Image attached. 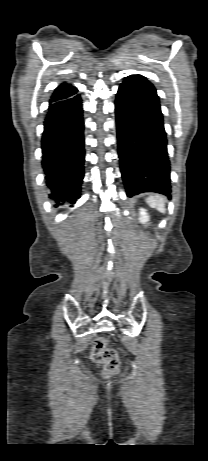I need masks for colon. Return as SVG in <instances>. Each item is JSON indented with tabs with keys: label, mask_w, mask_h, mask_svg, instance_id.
<instances>
[{
	"label": "colon",
	"mask_w": 208,
	"mask_h": 461,
	"mask_svg": "<svg viewBox=\"0 0 208 461\" xmlns=\"http://www.w3.org/2000/svg\"><path fill=\"white\" fill-rule=\"evenodd\" d=\"M92 359L103 364V375L111 376L115 374L120 366L118 353L108 348V341L104 337L95 339L91 353Z\"/></svg>",
	"instance_id": "5ec220e1"
}]
</instances>
